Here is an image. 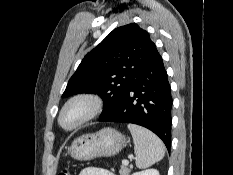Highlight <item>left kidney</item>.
<instances>
[{
    "instance_id": "1",
    "label": "left kidney",
    "mask_w": 233,
    "mask_h": 175,
    "mask_svg": "<svg viewBox=\"0 0 233 175\" xmlns=\"http://www.w3.org/2000/svg\"><path fill=\"white\" fill-rule=\"evenodd\" d=\"M132 175H159V172L156 169H147L140 172H135Z\"/></svg>"
}]
</instances>
